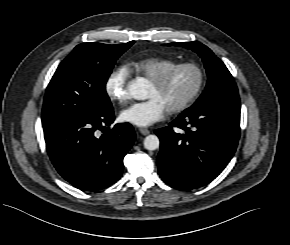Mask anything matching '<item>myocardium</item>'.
Masks as SVG:
<instances>
[{"label": "myocardium", "mask_w": 290, "mask_h": 245, "mask_svg": "<svg viewBox=\"0 0 290 245\" xmlns=\"http://www.w3.org/2000/svg\"><path fill=\"white\" fill-rule=\"evenodd\" d=\"M181 69H192L195 70L198 74V82L194 88V90L188 95L187 98H185L181 103L178 105L167 109V112L170 114H178L186 110L188 107H190L193 102L197 99V97L200 95L204 83H205V73L201 66H199L196 63H176L175 65L167 68L162 73H160L158 76L153 78L151 80V83L157 87H163L168 80L171 78V76L178 70Z\"/></svg>", "instance_id": "obj_1"}]
</instances>
